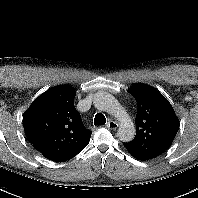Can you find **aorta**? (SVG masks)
I'll return each mask as SVG.
<instances>
[{"label":"aorta","mask_w":198,"mask_h":198,"mask_svg":"<svg viewBox=\"0 0 198 198\" xmlns=\"http://www.w3.org/2000/svg\"><path fill=\"white\" fill-rule=\"evenodd\" d=\"M93 103L96 108L114 115L120 121L118 137L123 142L131 141L135 136V126L127 112L118 101L108 93L100 92L94 97Z\"/></svg>","instance_id":"obj_1"}]
</instances>
